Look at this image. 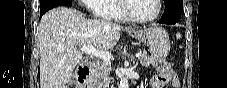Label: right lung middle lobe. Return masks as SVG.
Segmentation results:
<instances>
[{
	"mask_svg": "<svg viewBox=\"0 0 227 88\" xmlns=\"http://www.w3.org/2000/svg\"><path fill=\"white\" fill-rule=\"evenodd\" d=\"M57 6H71V0H40V12L45 13Z\"/></svg>",
	"mask_w": 227,
	"mask_h": 88,
	"instance_id": "obj_1",
	"label": "right lung middle lobe"
}]
</instances>
